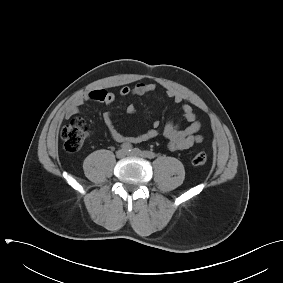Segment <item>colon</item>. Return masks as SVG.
<instances>
[{
  "mask_svg": "<svg viewBox=\"0 0 283 283\" xmlns=\"http://www.w3.org/2000/svg\"><path fill=\"white\" fill-rule=\"evenodd\" d=\"M88 134V125L81 118H74L61 131L64 147L69 152L79 150ZM207 162V155L198 152L193 157V164L200 166Z\"/></svg>",
  "mask_w": 283,
  "mask_h": 283,
  "instance_id": "5ec220e1",
  "label": "colon"
}]
</instances>
